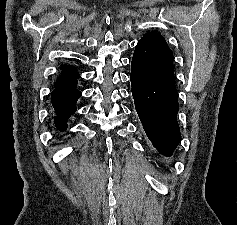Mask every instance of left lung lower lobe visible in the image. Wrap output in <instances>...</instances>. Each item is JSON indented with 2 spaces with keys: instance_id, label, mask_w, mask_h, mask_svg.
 <instances>
[{
  "instance_id": "left-lung-lower-lobe-1",
  "label": "left lung lower lobe",
  "mask_w": 237,
  "mask_h": 225,
  "mask_svg": "<svg viewBox=\"0 0 237 225\" xmlns=\"http://www.w3.org/2000/svg\"><path fill=\"white\" fill-rule=\"evenodd\" d=\"M132 95L143 128L158 152L170 156L180 142L178 93L173 85H149L131 74Z\"/></svg>"
}]
</instances>
